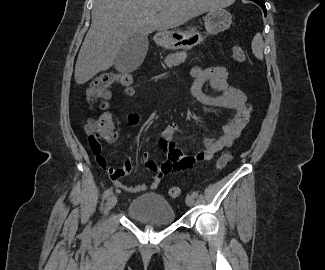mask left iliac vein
<instances>
[{"label": "left iliac vein", "mask_w": 325, "mask_h": 270, "mask_svg": "<svg viewBox=\"0 0 325 270\" xmlns=\"http://www.w3.org/2000/svg\"><path fill=\"white\" fill-rule=\"evenodd\" d=\"M195 198L192 195H188L186 197V204L187 206L191 207L194 205Z\"/></svg>", "instance_id": "1"}]
</instances>
